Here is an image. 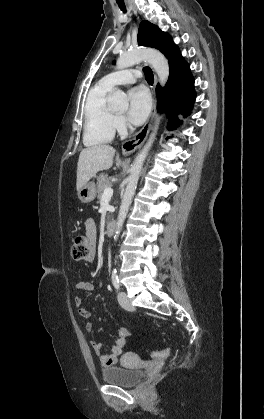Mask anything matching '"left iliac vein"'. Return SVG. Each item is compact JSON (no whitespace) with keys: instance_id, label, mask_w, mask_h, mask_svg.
Returning <instances> with one entry per match:
<instances>
[{"instance_id":"obj_1","label":"left iliac vein","mask_w":264,"mask_h":419,"mask_svg":"<svg viewBox=\"0 0 264 419\" xmlns=\"http://www.w3.org/2000/svg\"><path fill=\"white\" fill-rule=\"evenodd\" d=\"M118 301L122 308L128 311H133L135 307L132 305L131 301L129 300L126 292L121 291L118 293Z\"/></svg>"}]
</instances>
